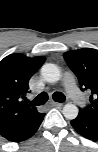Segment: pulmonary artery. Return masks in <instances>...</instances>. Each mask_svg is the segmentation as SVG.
<instances>
[{"instance_id": "pulmonary-artery-1", "label": "pulmonary artery", "mask_w": 98, "mask_h": 152, "mask_svg": "<svg viewBox=\"0 0 98 152\" xmlns=\"http://www.w3.org/2000/svg\"><path fill=\"white\" fill-rule=\"evenodd\" d=\"M63 85L66 89L68 96L75 102V103H82L84 101V96L80 93L76 86L75 78L66 73L63 78Z\"/></svg>"}]
</instances>
